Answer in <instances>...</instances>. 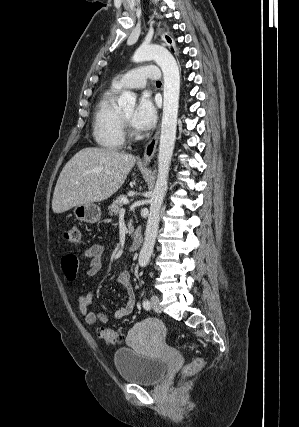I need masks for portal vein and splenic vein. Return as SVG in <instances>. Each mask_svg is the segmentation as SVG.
Masks as SVG:
<instances>
[{"mask_svg": "<svg viewBox=\"0 0 299 427\" xmlns=\"http://www.w3.org/2000/svg\"><path fill=\"white\" fill-rule=\"evenodd\" d=\"M122 202H123L124 204H128V203H129V200H128L127 198H123V199H122ZM119 213H120V214H124V213H125V209H121Z\"/></svg>", "mask_w": 299, "mask_h": 427, "instance_id": "portal-vein-and-splenic-vein-1", "label": "portal vein and splenic vein"}]
</instances>
